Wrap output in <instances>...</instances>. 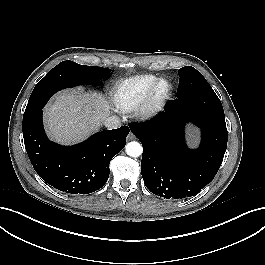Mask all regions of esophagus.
I'll return each instance as SVG.
<instances>
[{"label":"esophagus","instance_id":"1","mask_svg":"<svg viewBox=\"0 0 265 265\" xmlns=\"http://www.w3.org/2000/svg\"><path fill=\"white\" fill-rule=\"evenodd\" d=\"M135 136L132 133L128 134V140H134Z\"/></svg>","mask_w":265,"mask_h":265}]
</instances>
